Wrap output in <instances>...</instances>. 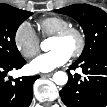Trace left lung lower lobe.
<instances>
[{
  "label": "left lung lower lobe",
  "mask_w": 107,
  "mask_h": 107,
  "mask_svg": "<svg viewBox=\"0 0 107 107\" xmlns=\"http://www.w3.org/2000/svg\"><path fill=\"white\" fill-rule=\"evenodd\" d=\"M78 66L86 75L84 79L74 74L60 91L63 103L68 107L107 106V50L99 51L84 60H77L70 66Z\"/></svg>",
  "instance_id": "obj_1"
}]
</instances>
